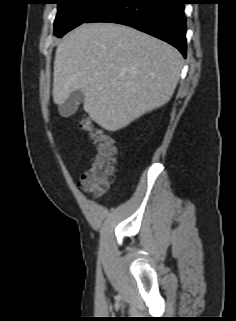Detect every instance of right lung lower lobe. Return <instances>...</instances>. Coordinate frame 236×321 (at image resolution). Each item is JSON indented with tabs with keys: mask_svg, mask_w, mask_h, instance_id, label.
Returning a JSON list of instances; mask_svg holds the SVG:
<instances>
[{
	"mask_svg": "<svg viewBox=\"0 0 236 321\" xmlns=\"http://www.w3.org/2000/svg\"><path fill=\"white\" fill-rule=\"evenodd\" d=\"M184 0H109L84 23L131 26L176 47L186 57Z\"/></svg>",
	"mask_w": 236,
	"mask_h": 321,
	"instance_id": "right-lung-lower-lobe-1",
	"label": "right lung lower lobe"
}]
</instances>
